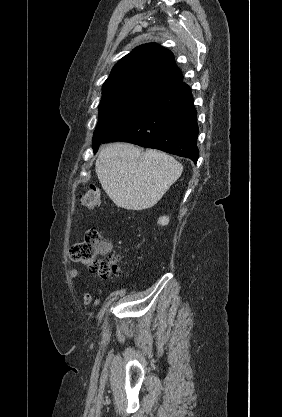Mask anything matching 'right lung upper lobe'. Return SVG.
<instances>
[{
    "instance_id": "1",
    "label": "right lung upper lobe",
    "mask_w": 282,
    "mask_h": 417,
    "mask_svg": "<svg viewBox=\"0 0 282 417\" xmlns=\"http://www.w3.org/2000/svg\"><path fill=\"white\" fill-rule=\"evenodd\" d=\"M182 79L172 52L148 43L118 61L103 84L102 94L128 90L160 93Z\"/></svg>"
}]
</instances>
